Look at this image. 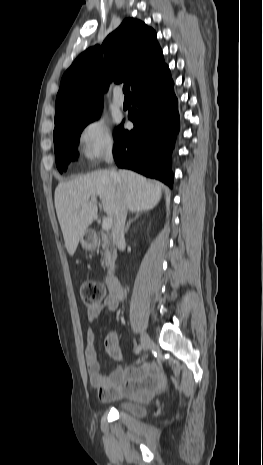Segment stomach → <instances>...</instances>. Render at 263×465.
Segmentation results:
<instances>
[{
    "label": "stomach",
    "mask_w": 263,
    "mask_h": 465,
    "mask_svg": "<svg viewBox=\"0 0 263 465\" xmlns=\"http://www.w3.org/2000/svg\"><path fill=\"white\" fill-rule=\"evenodd\" d=\"M80 243L83 249L90 251L96 248L97 238L92 232L86 231L80 239Z\"/></svg>",
    "instance_id": "obj_1"
}]
</instances>
